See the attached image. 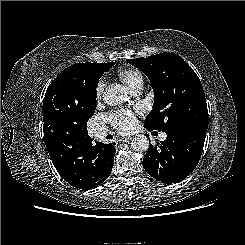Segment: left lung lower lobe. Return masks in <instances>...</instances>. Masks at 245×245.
I'll return each instance as SVG.
<instances>
[{
  "label": "left lung lower lobe",
  "mask_w": 245,
  "mask_h": 245,
  "mask_svg": "<svg viewBox=\"0 0 245 245\" xmlns=\"http://www.w3.org/2000/svg\"><path fill=\"white\" fill-rule=\"evenodd\" d=\"M206 132L207 127L198 125L167 133L165 141L155 147L149 146L143 159L144 169L151 177L166 184L182 181L199 162Z\"/></svg>",
  "instance_id": "0a47b994"
}]
</instances>
